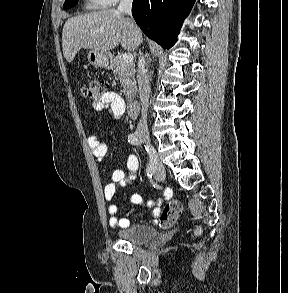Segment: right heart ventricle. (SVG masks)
Returning a JSON list of instances; mask_svg holds the SVG:
<instances>
[{"mask_svg":"<svg viewBox=\"0 0 288 293\" xmlns=\"http://www.w3.org/2000/svg\"><path fill=\"white\" fill-rule=\"evenodd\" d=\"M87 9H100L108 6L105 0H86Z\"/></svg>","mask_w":288,"mask_h":293,"instance_id":"1","label":"right heart ventricle"}]
</instances>
